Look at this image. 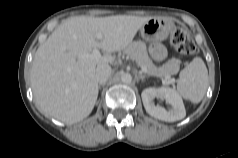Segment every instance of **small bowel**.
<instances>
[{
	"instance_id": "1",
	"label": "small bowel",
	"mask_w": 238,
	"mask_h": 158,
	"mask_svg": "<svg viewBox=\"0 0 238 158\" xmlns=\"http://www.w3.org/2000/svg\"><path fill=\"white\" fill-rule=\"evenodd\" d=\"M150 52L157 60H161L165 56V49L162 45L154 44L150 47Z\"/></svg>"
}]
</instances>
